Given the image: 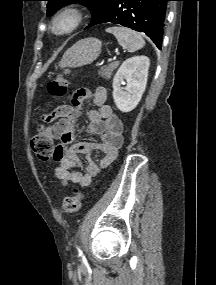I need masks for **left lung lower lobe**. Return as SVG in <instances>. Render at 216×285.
<instances>
[{"label": "left lung lower lobe", "mask_w": 216, "mask_h": 285, "mask_svg": "<svg viewBox=\"0 0 216 285\" xmlns=\"http://www.w3.org/2000/svg\"><path fill=\"white\" fill-rule=\"evenodd\" d=\"M170 0H113L92 26L114 23L143 32L161 49L167 6Z\"/></svg>", "instance_id": "0a47b994"}]
</instances>
